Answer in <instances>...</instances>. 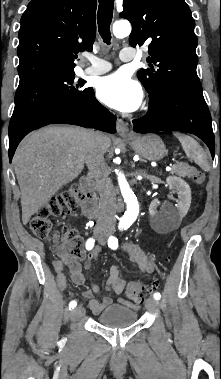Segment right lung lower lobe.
<instances>
[{
  "mask_svg": "<svg viewBox=\"0 0 221 379\" xmlns=\"http://www.w3.org/2000/svg\"><path fill=\"white\" fill-rule=\"evenodd\" d=\"M73 124L115 133L116 117L94 97L92 88L75 103L46 112L9 136L10 162L19 142L31 131L48 124Z\"/></svg>",
  "mask_w": 221,
  "mask_h": 379,
  "instance_id": "right-lung-lower-lobe-1",
  "label": "right lung lower lobe"
}]
</instances>
